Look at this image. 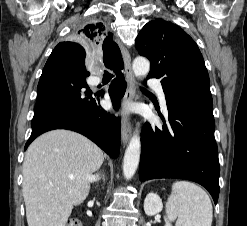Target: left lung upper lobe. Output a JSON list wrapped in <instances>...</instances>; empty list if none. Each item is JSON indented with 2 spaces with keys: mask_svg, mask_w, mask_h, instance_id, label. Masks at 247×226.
<instances>
[{
  "mask_svg": "<svg viewBox=\"0 0 247 226\" xmlns=\"http://www.w3.org/2000/svg\"><path fill=\"white\" fill-rule=\"evenodd\" d=\"M135 47L150 60L148 77L161 78L163 90L187 80L209 82L197 44L173 23L160 18L150 21L140 31Z\"/></svg>",
  "mask_w": 247,
  "mask_h": 226,
  "instance_id": "5c2ea615",
  "label": "left lung upper lobe"
}]
</instances>
